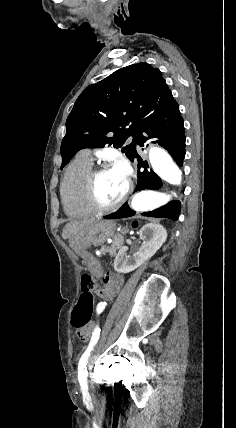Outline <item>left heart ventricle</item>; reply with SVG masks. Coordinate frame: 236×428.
<instances>
[{"instance_id": "left-heart-ventricle-1", "label": "left heart ventricle", "mask_w": 236, "mask_h": 428, "mask_svg": "<svg viewBox=\"0 0 236 428\" xmlns=\"http://www.w3.org/2000/svg\"><path fill=\"white\" fill-rule=\"evenodd\" d=\"M127 186V173L118 169H110L99 178L97 194L102 202L114 203L124 195Z\"/></svg>"}]
</instances>
